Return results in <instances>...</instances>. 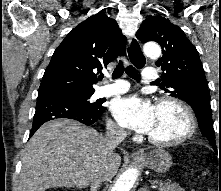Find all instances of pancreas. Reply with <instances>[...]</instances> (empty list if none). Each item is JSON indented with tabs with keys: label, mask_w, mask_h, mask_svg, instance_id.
Here are the masks:
<instances>
[{
	"label": "pancreas",
	"mask_w": 221,
	"mask_h": 191,
	"mask_svg": "<svg viewBox=\"0 0 221 191\" xmlns=\"http://www.w3.org/2000/svg\"><path fill=\"white\" fill-rule=\"evenodd\" d=\"M153 183L158 184L159 191H185L177 184H171L169 182H161V181H154Z\"/></svg>",
	"instance_id": "1"
}]
</instances>
